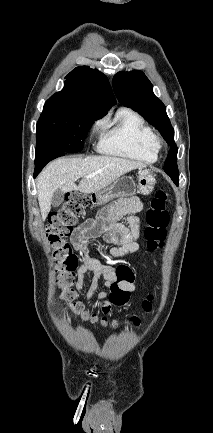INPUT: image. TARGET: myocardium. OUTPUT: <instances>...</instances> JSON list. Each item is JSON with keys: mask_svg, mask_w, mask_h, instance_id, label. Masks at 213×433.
<instances>
[{"mask_svg": "<svg viewBox=\"0 0 213 433\" xmlns=\"http://www.w3.org/2000/svg\"><path fill=\"white\" fill-rule=\"evenodd\" d=\"M158 145H159V147L161 146V143H160V141L158 140Z\"/></svg>", "mask_w": 213, "mask_h": 433, "instance_id": "myocardium-1", "label": "myocardium"}]
</instances>
